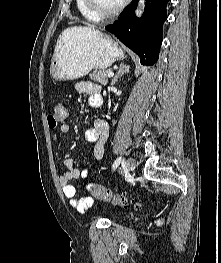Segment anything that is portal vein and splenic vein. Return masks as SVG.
<instances>
[{
	"mask_svg": "<svg viewBox=\"0 0 221 263\" xmlns=\"http://www.w3.org/2000/svg\"><path fill=\"white\" fill-rule=\"evenodd\" d=\"M107 76H108L109 78H110V77H113V76H114V73H113V72H109Z\"/></svg>",
	"mask_w": 221,
	"mask_h": 263,
	"instance_id": "obj_1",
	"label": "portal vein and splenic vein"
}]
</instances>
